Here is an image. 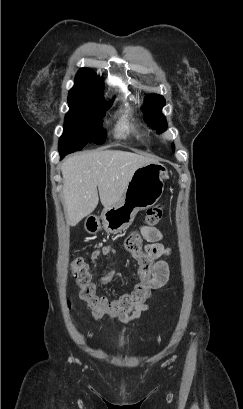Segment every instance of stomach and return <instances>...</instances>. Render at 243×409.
I'll list each match as a JSON object with an SVG mask.
<instances>
[{
    "instance_id": "stomach-1",
    "label": "stomach",
    "mask_w": 243,
    "mask_h": 409,
    "mask_svg": "<svg viewBox=\"0 0 243 409\" xmlns=\"http://www.w3.org/2000/svg\"><path fill=\"white\" fill-rule=\"evenodd\" d=\"M169 179L168 169L159 162L147 163L139 167L121 196L119 202L104 208L100 218L88 216L85 230L91 234L103 228L108 233H118L128 228L136 214L153 206L162 196L164 183ZM102 220V226L100 220Z\"/></svg>"
}]
</instances>
